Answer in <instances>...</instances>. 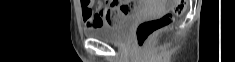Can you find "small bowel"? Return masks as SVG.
<instances>
[{
    "instance_id": "obj_1",
    "label": "small bowel",
    "mask_w": 235,
    "mask_h": 62,
    "mask_svg": "<svg viewBox=\"0 0 235 62\" xmlns=\"http://www.w3.org/2000/svg\"><path fill=\"white\" fill-rule=\"evenodd\" d=\"M81 8L85 27L89 30L109 23L114 11L120 10L121 14H126L135 10L136 6L124 1H111L107 6H104L103 2H99L96 10H94L92 1L82 0Z\"/></svg>"
}]
</instances>
